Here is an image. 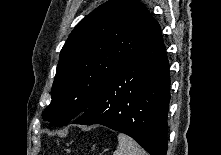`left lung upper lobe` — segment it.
<instances>
[{
  "mask_svg": "<svg viewBox=\"0 0 221 155\" xmlns=\"http://www.w3.org/2000/svg\"><path fill=\"white\" fill-rule=\"evenodd\" d=\"M157 24L138 0H109L83 18L61 50L43 119L61 126L80 116Z\"/></svg>",
  "mask_w": 221,
  "mask_h": 155,
  "instance_id": "obj_1",
  "label": "left lung upper lobe"
}]
</instances>
